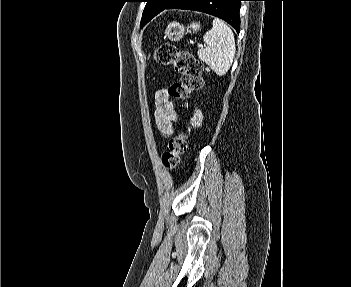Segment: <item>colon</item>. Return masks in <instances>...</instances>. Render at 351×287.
Segmentation results:
<instances>
[{"label":"colon","mask_w":351,"mask_h":287,"mask_svg":"<svg viewBox=\"0 0 351 287\" xmlns=\"http://www.w3.org/2000/svg\"><path fill=\"white\" fill-rule=\"evenodd\" d=\"M154 57L161 65L173 66L180 74V80L168 88V95L172 100L187 99L202 87V64L189 51L179 50L170 44H162L155 49ZM187 148V134L180 131L170 140L168 149L162 156L164 167L175 170Z\"/></svg>","instance_id":"1"}]
</instances>
